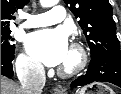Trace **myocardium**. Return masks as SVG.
<instances>
[{"label":"myocardium","mask_w":121,"mask_h":94,"mask_svg":"<svg viewBox=\"0 0 121 94\" xmlns=\"http://www.w3.org/2000/svg\"><path fill=\"white\" fill-rule=\"evenodd\" d=\"M70 49L76 56L75 63L70 67H59L58 75L62 78H72L80 74L88 63V54L86 49L79 43H73Z\"/></svg>","instance_id":"obj_1"}]
</instances>
